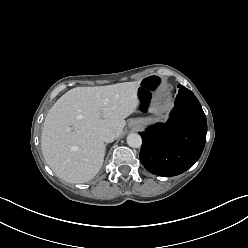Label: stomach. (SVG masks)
<instances>
[{"label": "stomach", "mask_w": 248, "mask_h": 248, "mask_svg": "<svg viewBox=\"0 0 248 248\" xmlns=\"http://www.w3.org/2000/svg\"><path fill=\"white\" fill-rule=\"evenodd\" d=\"M155 120V117H145V118H137L132 120L133 122H136L139 124V126L143 127L151 122H153Z\"/></svg>", "instance_id": "obj_1"}]
</instances>
